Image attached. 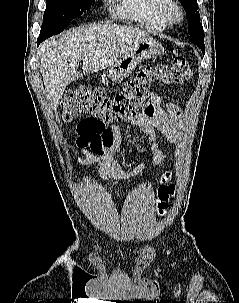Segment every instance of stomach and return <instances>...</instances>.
I'll return each instance as SVG.
<instances>
[{
    "instance_id": "0dacf381",
    "label": "stomach",
    "mask_w": 239,
    "mask_h": 303,
    "mask_svg": "<svg viewBox=\"0 0 239 303\" xmlns=\"http://www.w3.org/2000/svg\"><path fill=\"white\" fill-rule=\"evenodd\" d=\"M163 52V48L155 39L146 37L134 42L119 59L109 66V77L114 81L127 77L143 60L155 58Z\"/></svg>"
}]
</instances>
